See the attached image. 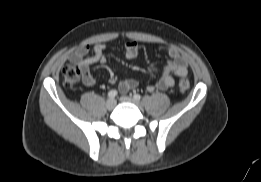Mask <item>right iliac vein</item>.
I'll use <instances>...</instances> for the list:
<instances>
[{"label": "right iliac vein", "instance_id": "1", "mask_svg": "<svg viewBox=\"0 0 261 182\" xmlns=\"http://www.w3.org/2000/svg\"><path fill=\"white\" fill-rule=\"evenodd\" d=\"M115 106H116V101H115L114 99L110 98V99H108V100L106 101V108H107L108 110L114 109Z\"/></svg>", "mask_w": 261, "mask_h": 182}]
</instances>
